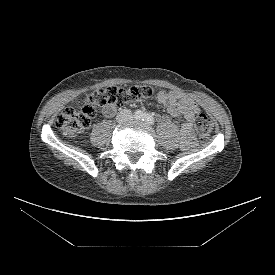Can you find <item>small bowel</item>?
Wrapping results in <instances>:
<instances>
[{
    "instance_id": "obj_1",
    "label": "small bowel",
    "mask_w": 275,
    "mask_h": 275,
    "mask_svg": "<svg viewBox=\"0 0 275 275\" xmlns=\"http://www.w3.org/2000/svg\"><path fill=\"white\" fill-rule=\"evenodd\" d=\"M157 100L171 116L184 118L185 123L180 129L181 146L183 148L193 146L195 144L194 122L200 112L197 103L187 95L175 90L159 92ZM116 111L115 104L105 105L102 109V113L106 117H113Z\"/></svg>"
}]
</instances>
